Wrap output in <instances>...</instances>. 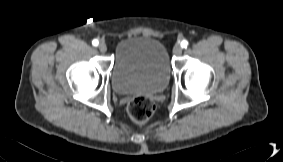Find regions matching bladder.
I'll list each match as a JSON object with an SVG mask.
<instances>
[{
  "mask_svg": "<svg viewBox=\"0 0 283 162\" xmlns=\"http://www.w3.org/2000/svg\"><path fill=\"white\" fill-rule=\"evenodd\" d=\"M170 74L169 55L159 40L130 36L117 43L111 71L116 93L160 92L168 85Z\"/></svg>",
  "mask_w": 283,
  "mask_h": 162,
  "instance_id": "31cf9c89",
  "label": "bladder"
}]
</instances>
